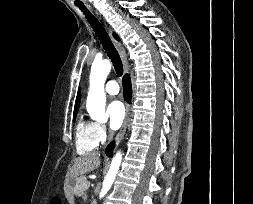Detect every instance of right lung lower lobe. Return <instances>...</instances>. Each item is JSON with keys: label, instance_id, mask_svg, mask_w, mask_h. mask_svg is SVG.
<instances>
[{"label": "right lung lower lobe", "instance_id": "right-lung-lower-lobe-1", "mask_svg": "<svg viewBox=\"0 0 253 204\" xmlns=\"http://www.w3.org/2000/svg\"><path fill=\"white\" fill-rule=\"evenodd\" d=\"M123 89H124V97L125 99L130 102L131 95H132V88H131V80L129 75H125L123 78ZM114 148V142L110 143L106 148V154L111 156V151Z\"/></svg>", "mask_w": 253, "mask_h": 204}]
</instances>
